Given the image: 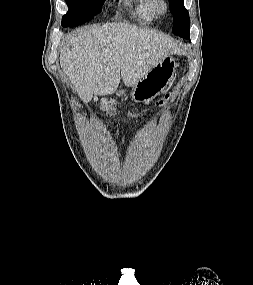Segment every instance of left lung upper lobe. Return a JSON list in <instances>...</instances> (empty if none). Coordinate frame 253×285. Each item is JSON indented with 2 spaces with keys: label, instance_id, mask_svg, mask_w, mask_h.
<instances>
[{
  "label": "left lung upper lobe",
  "instance_id": "obj_1",
  "mask_svg": "<svg viewBox=\"0 0 253 285\" xmlns=\"http://www.w3.org/2000/svg\"><path fill=\"white\" fill-rule=\"evenodd\" d=\"M169 4L174 17L172 32L188 39L190 34V19L188 11L184 7V0H169Z\"/></svg>",
  "mask_w": 253,
  "mask_h": 285
}]
</instances>
